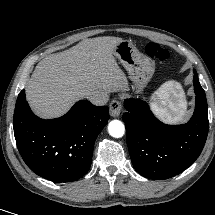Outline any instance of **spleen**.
I'll use <instances>...</instances> for the list:
<instances>
[{
    "mask_svg": "<svg viewBox=\"0 0 215 215\" xmlns=\"http://www.w3.org/2000/svg\"><path fill=\"white\" fill-rule=\"evenodd\" d=\"M153 108L160 118L166 121H180L184 118L186 101L179 84L174 81L164 83L153 97ZM176 114L173 118L171 114Z\"/></svg>",
    "mask_w": 215,
    "mask_h": 215,
    "instance_id": "obj_1",
    "label": "spleen"
}]
</instances>
